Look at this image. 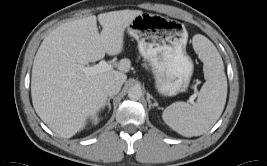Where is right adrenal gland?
Listing matches in <instances>:
<instances>
[{
    "label": "right adrenal gland",
    "mask_w": 267,
    "mask_h": 166,
    "mask_svg": "<svg viewBox=\"0 0 267 166\" xmlns=\"http://www.w3.org/2000/svg\"><path fill=\"white\" fill-rule=\"evenodd\" d=\"M113 98V96H110L108 99H107V101H106V103H105V106H108V111L110 112V110H111V104H110V100Z\"/></svg>",
    "instance_id": "obj_1"
}]
</instances>
